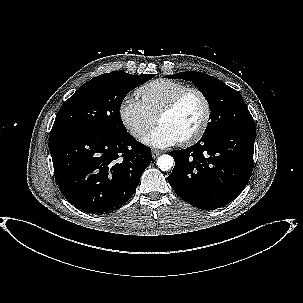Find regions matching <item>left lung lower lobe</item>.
<instances>
[{"mask_svg":"<svg viewBox=\"0 0 303 303\" xmlns=\"http://www.w3.org/2000/svg\"><path fill=\"white\" fill-rule=\"evenodd\" d=\"M255 130V126L227 129L172 151L175 167L168 182L176 194L203 210L234 200L252 173Z\"/></svg>","mask_w":303,"mask_h":303,"instance_id":"obj_1","label":"left lung lower lobe"}]
</instances>
